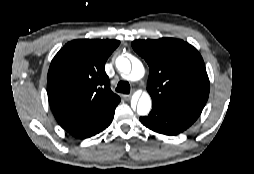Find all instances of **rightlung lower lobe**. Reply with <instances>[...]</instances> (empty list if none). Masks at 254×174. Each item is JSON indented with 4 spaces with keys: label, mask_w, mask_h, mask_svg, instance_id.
Masks as SVG:
<instances>
[{
    "label": "right lung lower lobe",
    "mask_w": 254,
    "mask_h": 174,
    "mask_svg": "<svg viewBox=\"0 0 254 174\" xmlns=\"http://www.w3.org/2000/svg\"><path fill=\"white\" fill-rule=\"evenodd\" d=\"M117 105L96 110L63 128L79 139L89 138L107 128L114 117Z\"/></svg>",
    "instance_id": "obj_1"
}]
</instances>
